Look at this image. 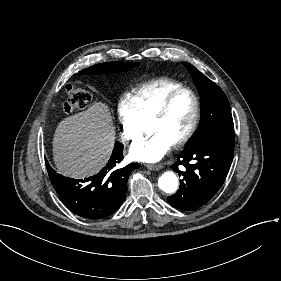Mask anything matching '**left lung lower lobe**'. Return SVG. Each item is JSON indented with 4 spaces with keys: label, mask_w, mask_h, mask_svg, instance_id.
I'll use <instances>...</instances> for the list:
<instances>
[{
    "label": "left lung lower lobe",
    "mask_w": 281,
    "mask_h": 281,
    "mask_svg": "<svg viewBox=\"0 0 281 281\" xmlns=\"http://www.w3.org/2000/svg\"><path fill=\"white\" fill-rule=\"evenodd\" d=\"M234 147L202 141L185 149L177 156L172 168L181 175L179 165L185 167L183 180L176 194L167 198L170 205L180 209L195 210L217 193L232 163Z\"/></svg>",
    "instance_id": "obj_1"
}]
</instances>
